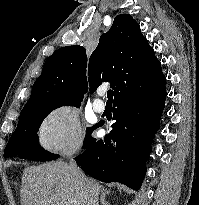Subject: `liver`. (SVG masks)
Returning <instances> with one entry per match:
<instances>
[{"mask_svg": "<svg viewBox=\"0 0 199 205\" xmlns=\"http://www.w3.org/2000/svg\"><path fill=\"white\" fill-rule=\"evenodd\" d=\"M102 187L70 165L51 162L24 169L20 190L21 205H98Z\"/></svg>", "mask_w": 199, "mask_h": 205, "instance_id": "obj_1", "label": "liver"}]
</instances>
